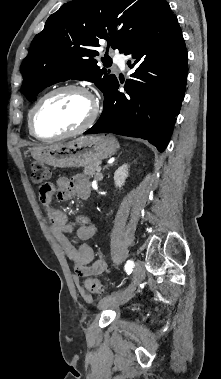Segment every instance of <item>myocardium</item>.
I'll list each match as a JSON object with an SVG mask.
<instances>
[{
    "instance_id": "obj_1",
    "label": "myocardium",
    "mask_w": 221,
    "mask_h": 379,
    "mask_svg": "<svg viewBox=\"0 0 221 379\" xmlns=\"http://www.w3.org/2000/svg\"><path fill=\"white\" fill-rule=\"evenodd\" d=\"M66 91H75V92H79V93H82L85 96H87L92 103V109H91L90 115L80 126H78L77 128H75L73 130L67 131L65 133L55 135V136H50V137H45V136L38 134L36 129H35V125H34V118H35L36 111L38 110V108L41 106V104L47 98H49L50 96H52L54 94L66 92ZM99 110H100L99 104H98L96 98L86 87L78 85V84L62 85V86L56 87V88L48 91L47 93H45L43 96H41L37 100V102L31 108V110L29 112V116H28L29 131L35 138L42 140V141H56V140L65 139V138L77 135V134L87 130L88 128H90L95 123V121L97 120L98 115H99Z\"/></svg>"
}]
</instances>
